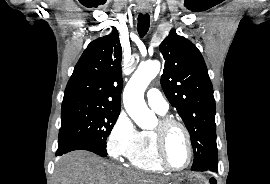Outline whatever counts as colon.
Segmentation results:
<instances>
[{"mask_svg":"<svg viewBox=\"0 0 270 184\" xmlns=\"http://www.w3.org/2000/svg\"><path fill=\"white\" fill-rule=\"evenodd\" d=\"M209 184H217V182L215 179L212 178V179H210Z\"/></svg>","mask_w":270,"mask_h":184,"instance_id":"colon-1","label":"colon"}]
</instances>
